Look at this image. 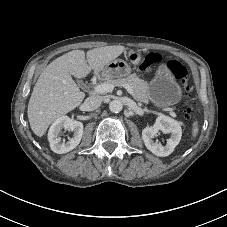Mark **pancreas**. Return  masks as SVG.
<instances>
[{"instance_id": "cf45deb5", "label": "pancreas", "mask_w": 227, "mask_h": 227, "mask_svg": "<svg viewBox=\"0 0 227 227\" xmlns=\"http://www.w3.org/2000/svg\"><path fill=\"white\" fill-rule=\"evenodd\" d=\"M106 82L114 86H122L123 84L129 85L133 90V98L136 101L146 102L148 100V84L140 79L135 73L130 74L124 78L108 79Z\"/></svg>"}]
</instances>
